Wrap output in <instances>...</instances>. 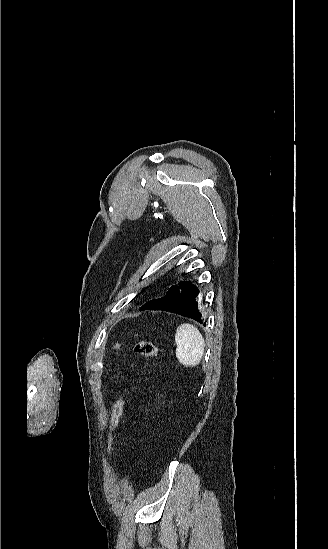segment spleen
Returning a JSON list of instances; mask_svg holds the SVG:
<instances>
[{"mask_svg":"<svg viewBox=\"0 0 328 549\" xmlns=\"http://www.w3.org/2000/svg\"><path fill=\"white\" fill-rule=\"evenodd\" d=\"M175 343L177 345L176 357L181 365L184 367L199 365L203 357L205 341L194 325H189V323L179 325L175 333Z\"/></svg>","mask_w":328,"mask_h":549,"instance_id":"obj_1","label":"spleen"}]
</instances>
